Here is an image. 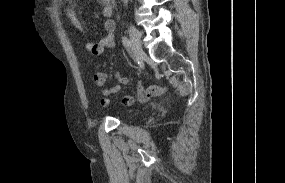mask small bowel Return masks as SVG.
I'll return each instance as SVG.
<instances>
[{"label":"small bowel","mask_w":285,"mask_h":183,"mask_svg":"<svg viewBox=\"0 0 285 183\" xmlns=\"http://www.w3.org/2000/svg\"><path fill=\"white\" fill-rule=\"evenodd\" d=\"M102 5V15L105 18L103 27L105 30V36L101 38L97 42H88L86 43V50L91 55L97 56L104 52L106 49H113L116 46L115 43V28L116 24L112 19L113 14V0H100ZM65 14L70 18L71 24L80 32H84V27L82 23L77 18L74 8L71 4H69L65 10ZM119 80L123 83H128L129 80L118 76ZM93 83L99 87L100 94L102 95L101 104L103 106H108L111 103V96L117 94L120 91V85H113L110 87H105V83L107 81V74L101 71H97L92 75ZM166 92V88L162 86H150L149 88H144L142 85L138 86V97L140 100L145 101L148 100L150 97L153 96H160ZM150 95V97L148 96ZM144 96L145 98L142 99L141 97ZM125 98H129L131 100L130 103H126L124 101ZM123 102L127 105L133 103L134 99L132 96H125Z\"/></svg>","instance_id":"1"}]
</instances>
